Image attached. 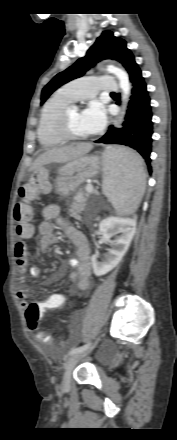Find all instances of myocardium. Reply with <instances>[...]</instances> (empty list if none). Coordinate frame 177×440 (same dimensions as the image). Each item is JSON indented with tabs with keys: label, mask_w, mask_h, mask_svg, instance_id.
Returning a JSON list of instances; mask_svg holds the SVG:
<instances>
[{
	"label": "myocardium",
	"mask_w": 177,
	"mask_h": 440,
	"mask_svg": "<svg viewBox=\"0 0 177 440\" xmlns=\"http://www.w3.org/2000/svg\"><path fill=\"white\" fill-rule=\"evenodd\" d=\"M73 108L71 105L62 109L56 122V130L63 142H73L85 140L88 136H79L71 132L69 126V111Z\"/></svg>",
	"instance_id": "f54148a6"
}]
</instances>
